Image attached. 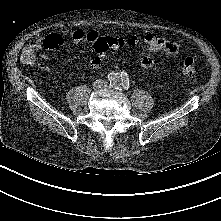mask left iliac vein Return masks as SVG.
I'll return each mask as SVG.
<instances>
[{
  "label": "left iliac vein",
  "mask_w": 221,
  "mask_h": 221,
  "mask_svg": "<svg viewBox=\"0 0 221 221\" xmlns=\"http://www.w3.org/2000/svg\"><path fill=\"white\" fill-rule=\"evenodd\" d=\"M105 87H106V88H110V86H109V85H105Z\"/></svg>",
  "instance_id": "1"
}]
</instances>
